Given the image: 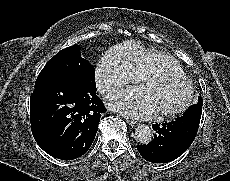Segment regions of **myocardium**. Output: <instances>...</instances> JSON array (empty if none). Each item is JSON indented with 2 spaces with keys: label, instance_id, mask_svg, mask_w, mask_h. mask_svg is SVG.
I'll list each match as a JSON object with an SVG mask.
<instances>
[{
  "label": "myocardium",
  "instance_id": "1",
  "mask_svg": "<svg viewBox=\"0 0 230 181\" xmlns=\"http://www.w3.org/2000/svg\"><path fill=\"white\" fill-rule=\"evenodd\" d=\"M154 79H161V80H179L182 81L186 84L187 86V94L184 98V100L181 102V104L179 106H177L176 108L173 109H169V110H160L157 111V113L159 115H164L166 117H173L176 116L182 112H184L191 104L193 97H194V86L192 84V82L188 79L187 76H185V74H175V73H171V72H167V71H158V72H151L146 74L142 79L141 82L139 84L140 89H144L145 85Z\"/></svg>",
  "mask_w": 230,
  "mask_h": 181
}]
</instances>
